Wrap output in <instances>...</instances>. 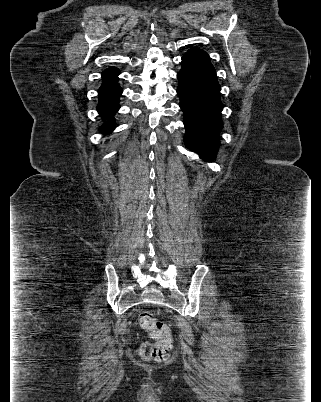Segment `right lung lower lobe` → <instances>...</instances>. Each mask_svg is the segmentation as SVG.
Returning <instances> with one entry per match:
<instances>
[{"label": "right lung lower lobe", "instance_id": "obj_1", "mask_svg": "<svg viewBox=\"0 0 321 402\" xmlns=\"http://www.w3.org/2000/svg\"><path fill=\"white\" fill-rule=\"evenodd\" d=\"M120 71L113 67L102 72L103 83L98 90L99 103L97 111L104 119V124L99 132L106 134L113 131L115 128L114 114L120 108L119 97L122 89L118 84V75Z\"/></svg>", "mask_w": 321, "mask_h": 402}]
</instances>
